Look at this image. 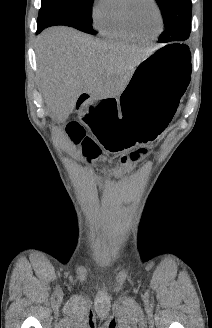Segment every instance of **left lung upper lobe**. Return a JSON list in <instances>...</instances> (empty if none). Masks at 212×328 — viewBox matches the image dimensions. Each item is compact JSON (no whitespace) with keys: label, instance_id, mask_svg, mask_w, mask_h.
Masks as SVG:
<instances>
[{"label":"left lung upper lobe","instance_id":"left-lung-upper-lobe-1","mask_svg":"<svg viewBox=\"0 0 212 328\" xmlns=\"http://www.w3.org/2000/svg\"><path fill=\"white\" fill-rule=\"evenodd\" d=\"M161 8L165 31L159 36L162 43L188 39L191 31V0H156Z\"/></svg>","mask_w":212,"mask_h":328}]
</instances>
